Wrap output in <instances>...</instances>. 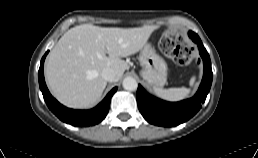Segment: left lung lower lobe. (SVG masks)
I'll use <instances>...</instances> for the list:
<instances>
[{
	"mask_svg": "<svg viewBox=\"0 0 258 158\" xmlns=\"http://www.w3.org/2000/svg\"><path fill=\"white\" fill-rule=\"evenodd\" d=\"M188 35L198 45L204 63V75L200 87L194 97L190 99L166 102L149 95L139 85L136 94L138 107L145 120L151 124L172 127L186 122L200 110L210 91L213 73L209 54L196 33L189 31Z\"/></svg>",
	"mask_w": 258,
	"mask_h": 158,
	"instance_id": "0a47b994",
	"label": "left lung lower lobe"
}]
</instances>
